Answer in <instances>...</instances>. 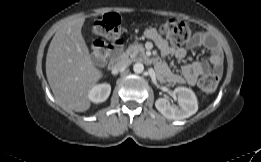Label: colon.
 Returning <instances> with one entry per match:
<instances>
[{
  "label": "colon",
  "instance_id": "obj_1",
  "mask_svg": "<svg viewBox=\"0 0 261 162\" xmlns=\"http://www.w3.org/2000/svg\"><path fill=\"white\" fill-rule=\"evenodd\" d=\"M96 36L93 45V56L101 61L107 57L108 47L111 43H121V18L116 13H108L97 19L92 25ZM161 34L173 44H183L192 39L191 27L177 19H169L160 26ZM111 43H107V42ZM218 79L214 75H204L199 80L200 89L210 94L215 91Z\"/></svg>",
  "mask_w": 261,
  "mask_h": 162
}]
</instances>
